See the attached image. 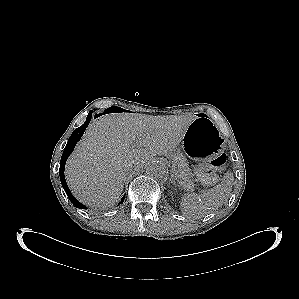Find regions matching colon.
I'll return each mask as SVG.
<instances>
[{
    "mask_svg": "<svg viewBox=\"0 0 299 299\" xmlns=\"http://www.w3.org/2000/svg\"><path fill=\"white\" fill-rule=\"evenodd\" d=\"M226 164V156L224 154L216 157L209 164L194 163L196 174L198 178L206 183L213 182L216 179V172L221 170Z\"/></svg>",
    "mask_w": 299,
    "mask_h": 299,
    "instance_id": "colon-1",
    "label": "colon"
}]
</instances>
